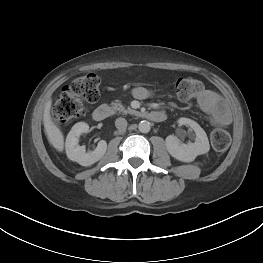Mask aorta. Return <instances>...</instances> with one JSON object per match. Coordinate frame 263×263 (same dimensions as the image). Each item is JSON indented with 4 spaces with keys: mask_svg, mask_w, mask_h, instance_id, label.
I'll list each match as a JSON object with an SVG mask.
<instances>
[{
    "mask_svg": "<svg viewBox=\"0 0 263 263\" xmlns=\"http://www.w3.org/2000/svg\"><path fill=\"white\" fill-rule=\"evenodd\" d=\"M138 129L141 133H148L151 129V125L148 121H141L138 125Z\"/></svg>",
    "mask_w": 263,
    "mask_h": 263,
    "instance_id": "1",
    "label": "aorta"
}]
</instances>
